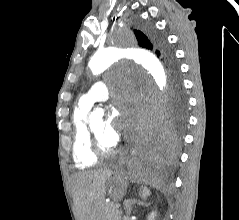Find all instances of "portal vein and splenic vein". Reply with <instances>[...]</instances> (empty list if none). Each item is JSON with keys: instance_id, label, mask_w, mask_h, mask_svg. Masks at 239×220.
<instances>
[{"instance_id": "1", "label": "portal vein and splenic vein", "mask_w": 239, "mask_h": 220, "mask_svg": "<svg viewBox=\"0 0 239 220\" xmlns=\"http://www.w3.org/2000/svg\"><path fill=\"white\" fill-rule=\"evenodd\" d=\"M121 206L120 203L115 204V207L118 209Z\"/></svg>"}]
</instances>
